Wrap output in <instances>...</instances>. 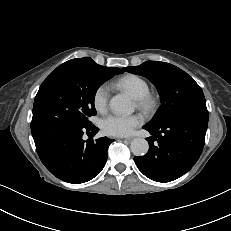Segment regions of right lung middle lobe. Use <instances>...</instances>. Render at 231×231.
<instances>
[{"label": "right lung middle lobe", "instance_id": "dd1d6c3e", "mask_svg": "<svg viewBox=\"0 0 231 231\" xmlns=\"http://www.w3.org/2000/svg\"><path fill=\"white\" fill-rule=\"evenodd\" d=\"M123 70L96 63L62 64L41 84L35 97L31 131L46 142L72 128L91 125L97 89Z\"/></svg>", "mask_w": 231, "mask_h": 231}]
</instances>
